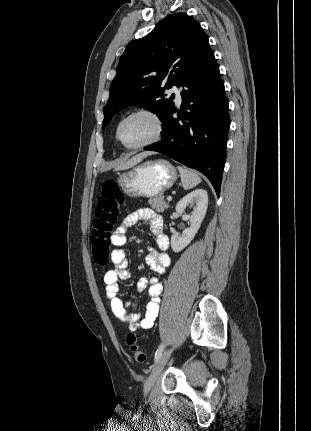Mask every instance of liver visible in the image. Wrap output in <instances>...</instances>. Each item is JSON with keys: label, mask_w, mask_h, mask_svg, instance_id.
Returning <instances> with one entry per match:
<instances>
[{"label": "liver", "mask_w": 311, "mask_h": 431, "mask_svg": "<svg viewBox=\"0 0 311 431\" xmlns=\"http://www.w3.org/2000/svg\"><path fill=\"white\" fill-rule=\"evenodd\" d=\"M153 152H141V154H137V156H132V158H124L118 166H116V170H129V168H133V166H137V164H140L144 158H147V156H151Z\"/></svg>", "instance_id": "6515ba94"}]
</instances>
